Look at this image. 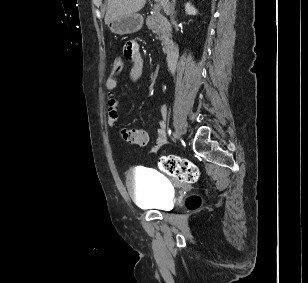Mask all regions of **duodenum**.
Listing matches in <instances>:
<instances>
[{
  "instance_id": "1",
  "label": "duodenum",
  "mask_w": 308,
  "mask_h": 283,
  "mask_svg": "<svg viewBox=\"0 0 308 283\" xmlns=\"http://www.w3.org/2000/svg\"><path fill=\"white\" fill-rule=\"evenodd\" d=\"M179 57V48L177 45L173 46L172 49L166 55V63L168 70L174 72L177 66V60Z\"/></svg>"
}]
</instances>
